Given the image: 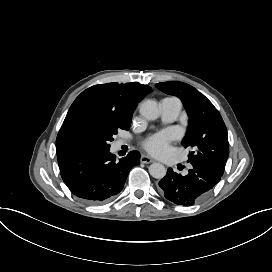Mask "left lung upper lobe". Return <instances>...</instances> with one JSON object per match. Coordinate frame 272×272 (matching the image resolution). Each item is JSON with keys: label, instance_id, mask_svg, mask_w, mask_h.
Here are the masks:
<instances>
[{"label": "left lung upper lobe", "instance_id": "5c2ea615", "mask_svg": "<svg viewBox=\"0 0 272 272\" xmlns=\"http://www.w3.org/2000/svg\"><path fill=\"white\" fill-rule=\"evenodd\" d=\"M159 90L181 99L189 116V126L182 141L189 153L188 162L208 167L223 175L229 155L227 129L214 105L189 84L169 81L155 85Z\"/></svg>", "mask_w": 272, "mask_h": 272}]
</instances>
